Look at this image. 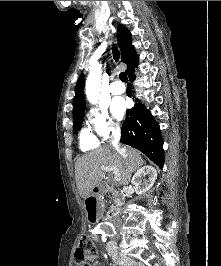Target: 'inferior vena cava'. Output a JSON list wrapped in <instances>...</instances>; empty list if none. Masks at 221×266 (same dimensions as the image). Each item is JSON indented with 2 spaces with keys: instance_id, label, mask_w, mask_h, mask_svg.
I'll return each mask as SVG.
<instances>
[{
  "instance_id": "obj_1",
  "label": "inferior vena cava",
  "mask_w": 221,
  "mask_h": 266,
  "mask_svg": "<svg viewBox=\"0 0 221 266\" xmlns=\"http://www.w3.org/2000/svg\"><path fill=\"white\" fill-rule=\"evenodd\" d=\"M119 140H120V129H113L112 130V136H111V139H110V143L114 146L115 150L120 153L123 157H125V148L120 146L118 143H119ZM113 224L114 226L117 228V227H120L121 225V220L119 217H116L114 220H113Z\"/></svg>"
}]
</instances>
